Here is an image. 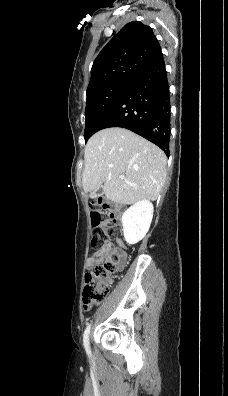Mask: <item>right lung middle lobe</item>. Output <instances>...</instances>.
Returning <instances> with one entry per match:
<instances>
[{"mask_svg": "<svg viewBox=\"0 0 228 396\" xmlns=\"http://www.w3.org/2000/svg\"><path fill=\"white\" fill-rule=\"evenodd\" d=\"M129 84L127 82H112L86 92L85 142L96 132L98 122L113 106Z\"/></svg>", "mask_w": 228, "mask_h": 396, "instance_id": "1", "label": "right lung middle lobe"}]
</instances>
